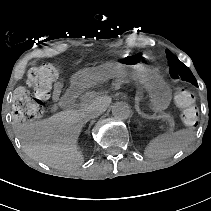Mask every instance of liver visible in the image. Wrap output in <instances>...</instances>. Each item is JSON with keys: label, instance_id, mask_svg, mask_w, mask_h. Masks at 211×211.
<instances>
[{"label": "liver", "instance_id": "liver-1", "mask_svg": "<svg viewBox=\"0 0 211 211\" xmlns=\"http://www.w3.org/2000/svg\"><path fill=\"white\" fill-rule=\"evenodd\" d=\"M112 102L110 96L95 97L92 104L104 111ZM82 111L59 112L30 123L16 122L13 130L21 141L26 154L33 160L61 170H71L85 161L79 140L84 129Z\"/></svg>", "mask_w": 211, "mask_h": 211}]
</instances>
